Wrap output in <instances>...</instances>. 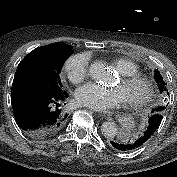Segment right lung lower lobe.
Instances as JSON below:
<instances>
[{"label":"right lung lower lobe","instance_id":"obj_1","mask_svg":"<svg viewBox=\"0 0 177 177\" xmlns=\"http://www.w3.org/2000/svg\"><path fill=\"white\" fill-rule=\"evenodd\" d=\"M67 92L50 94L28 89H12L11 104L18 126L30 137L43 138L57 133L67 122L63 108Z\"/></svg>","mask_w":177,"mask_h":177}]
</instances>
